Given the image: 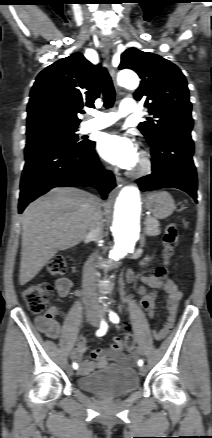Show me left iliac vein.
I'll use <instances>...</instances> for the list:
<instances>
[{"mask_svg":"<svg viewBox=\"0 0 212 438\" xmlns=\"http://www.w3.org/2000/svg\"><path fill=\"white\" fill-rule=\"evenodd\" d=\"M139 371H140V374L143 376L147 373V367L142 366V367H140Z\"/></svg>","mask_w":212,"mask_h":438,"instance_id":"left-iliac-vein-1","label":"left iliac vein"}]
</instances>
